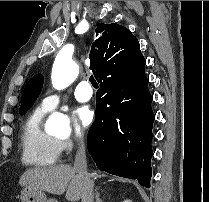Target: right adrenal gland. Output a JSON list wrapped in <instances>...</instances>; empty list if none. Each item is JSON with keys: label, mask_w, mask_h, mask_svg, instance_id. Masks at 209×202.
Instances as JSON below:
<instances>
[{"label": "right adrenal gland", "mask_w": 209, "mask_h": 202, "mask_svg": "<svg viewBox=\"0 0 209 202\" xmlns=\"http://www.w3.org/2000/svg\"><path fill=\"white\" fill-rule=\"evenodd\" d=\"M95 199H96V202H102V199L100 198L99 192H96Z\"/></svg>", "instance_id": "obj_1"}]
</instances>
